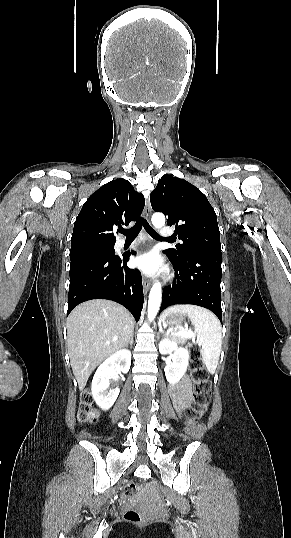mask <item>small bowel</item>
Returning <instances> with one entry per match:
<instances>
[{
	"mask_svg": "<svg viewBox=\"0 0 291 538\" xmlns=\"http://www.w3.org/2000/svg\"><path fill=\"white\" fill-rule=\"evenodd\" d=\"M191 392V381L188 378H185L181 385H178L174 389V397L179 402H187L190 398Z\"/></svg>",
	"mask_w": 291,
	"mask_h": 538,
	"instance_id": "c3829d8e",
	"label": "small bowel"
}]
</instances>
